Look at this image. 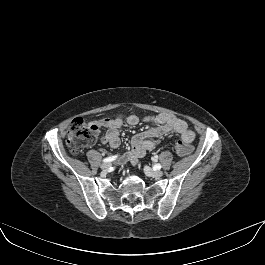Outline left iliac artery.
I'll return each mask as SVG.
<instances>
[{
	"label": "left iliac artery",
	"mask_w": 265,
	"mask_h": 265,
	"mask_svg": "<svg viewBox=\"0 0 265 265\" xmlns=\"http://www.w3.org/2000/svg\"><path fill=\"white\" fill-rule=\"evenodd\" d=\"M153 160H154V161H157V157L155 156V157L153 158ZM154 168L157 169V170H160V169H161V165H160V164H156V165L154 166Z\"/></svg>",
	"instance_id": "left-iliac-artery-1"
}]
</instances>
